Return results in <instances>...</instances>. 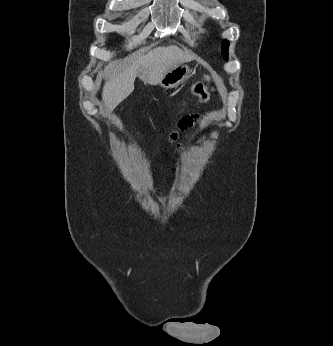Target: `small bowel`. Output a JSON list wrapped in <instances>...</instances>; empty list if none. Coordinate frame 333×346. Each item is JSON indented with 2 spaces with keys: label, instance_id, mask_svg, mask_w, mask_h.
Here are the masks:
<instances>
[{
  "label": "small bowel",
  "instance_id": "obj_1",
  "mask_svg": "<svg viewBox=\"0 0 333 346\" xmlns=\"http://www.w3.org/2000/svg\"><path fill=\"white\" fill-rule=\"evenodd\" d=\"M194 123H195V119L193 117L186 116L181 120L180 125H179V130L180 131L186 130V129L192 127ZM178 132L179 131H175L172 134V140L175 141L178 139Z\"/></svg>",
  "mask_w": 333,
  "mask_h": 346
}]
</instances>
